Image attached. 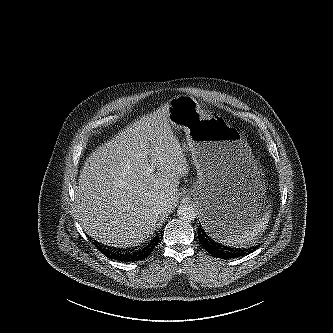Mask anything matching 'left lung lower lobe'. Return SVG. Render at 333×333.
Here are the masks:
<instances>
[{
  "label": "left lung lower lobe",
  "instance_id": "obj_1",
  "mask_svg": "<svg viewBox=\"0 0 333 333\" xmlns=\"http://www.w3.org/2000/svg\"><path fill=\"white\" fill-rule=\"evenodd\" d=\"M198 238L204 249L216 258L228 259L243 256L251 249L228 248L216 241L201 225L198 228Z\"/></svg>",
  "mask_w": 333,
  "mask_h": 333
}]
</instances>
